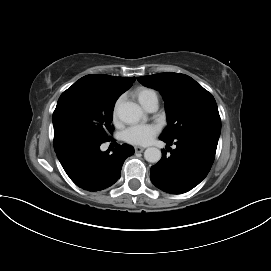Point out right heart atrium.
I'll return each instance as SVG.
<instances>
[{
  "instance_id": "d8ad5b80",
  "label": "right heart atrium",
  "mask_w": 271,
  "mask_h": 271,
  "mask_svg": "<svg viewBox=\"0 0 271 271\" xmlns=\"http://www.w3.org/2000/svg\"><path fill=\"white\" fill-rule=\"evenodd\" d=\"M116 116V110L114 111V117Z\"/></svg>"
}]
</instances>
